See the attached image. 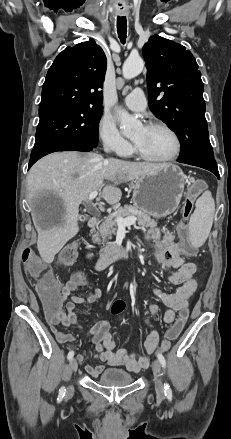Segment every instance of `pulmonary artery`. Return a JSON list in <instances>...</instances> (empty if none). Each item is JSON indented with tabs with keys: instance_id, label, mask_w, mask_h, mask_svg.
I'll use <instances>...</instances> for the list:
<instances>
[{
	"instance_id": "obj_1",
	"label": "pulmonary artery",
	"mask_w": 231,
	"mask_h": 439,
	"mask_svg": "<svg viewBox=\"0 0 231 439\" xmlns=\"http://www.w3.org/2000/svg\"><path fill=\"white\" fill-rule=\"evenodd\" d=\"M126 106L135 112H141L146 109V98L140 88H136L127 94L124 98Z\"/></svg>"
}]
</instances>
